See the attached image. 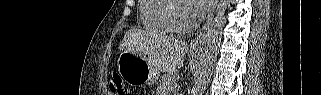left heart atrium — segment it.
<instances>
[{
    "instance_id": "39dd6f15",
    "label": "left heart atrium",
    "mask_w": 321,
    "mask_h": 95,
    "mask_svg": "<svg viewBox=\"0 0 321 95\" xmlns=\"http://www.w3.org/2000/svg\"><path fill=\"white\" fill-rule=\"evenodd\" d=\"M191 6L187 7V13L191 17H198L204 12H206L211 4L214 2L213 0H190Z\"/></svg>"
}]
</instances>
